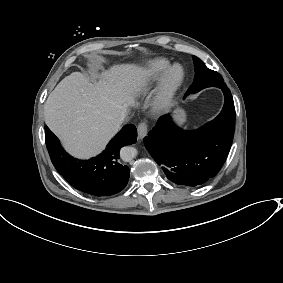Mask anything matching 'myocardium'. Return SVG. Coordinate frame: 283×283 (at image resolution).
I'll return each instance as SVG.
<instances>
[{
  "mask_svg": "<svg viewBox=\"0 0 283 283\" xmlns=\"http://www.w3.org/2000/svg\"><path fill=\"white\" fill-rule=\"evenodd\" d=\"M176 69H179V75L170 81V76ZM185 78L186 71L183 65L180 63L170 64L156 79L149 100L150 109L156 113L168 110L183 86Z\"/></svg>",
  "mask_w": 283,
  "mask_h": 283,
  "instance_id": "myocardium-1",
  "label": "myocardium"
}]
</instances>
